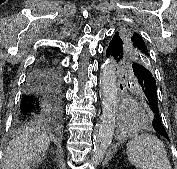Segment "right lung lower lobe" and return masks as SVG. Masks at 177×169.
I'll use <instances>...</instances> for the list:
<instances>
[{
	"label": "right lung lower lobe",
	"mask_w": 177,
	"mask_h": 169,
	"mask_svg": "<svg viewBox=\"0 0 177 169\" xmlns=\"http://www.w3.org/2000/svg\"><path fill=\"white\" fill-rule=\"evenodd\" d=\"M61 83L60 72L52 58H41L29 72L18 121H59L62 116Z\"/></svg>",
	"instance_id": "right-lung-lower-lobe-1"
}]
</instances>
